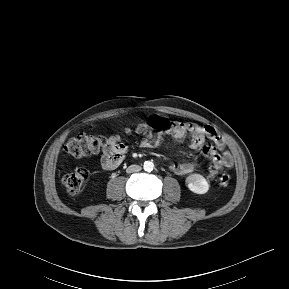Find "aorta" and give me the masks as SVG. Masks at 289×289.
Masks as SVG:
<instances>
[{"instance_id":"762f6f07","label":"aorta","mask_w":289,"mask_h":289,"mask_svg":"<svg viewBox=\"0 0 289 289\" xmlns=\"http://www.w3.org/2000/svg\"><path fill=\"white\" fill-rule=\"evenodd\" d=\"M143 168L145 171L150 172L154 169V163L152 161H145Z\"/></svg>"}]
</instances>
